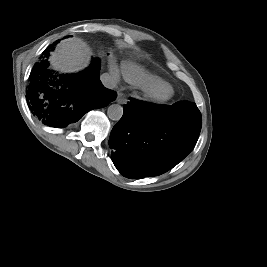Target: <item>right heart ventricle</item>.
Masks as SVG:
<instances>
[{
    "instance_id": "e07e8e85",
    "label": "right heart ventricle",
    "mask_w": 267,
    "mask_h": 267,
    "mask_svg": "<svg viewBox=\"0 0 267 267\" xmlns=\"http://www.w3.org/2000/svg\"><path fill=\"white\" fill-rule=\"evenodd\" d=\"M122 68L126 80L134 85L149 87L167 84L160 77L149 73L148 71L137 65L131 63H124Z\"/></svg>"
}]
</instances>
